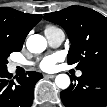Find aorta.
<instances>
[{
    "mask_svg": "<svg viewBox=\"0 0 107 107\" xmlns=\"http://www.w3.org/2000/svg\"><path fill=\"white\" fill-rule=\"evenodd\" d=\"M26 47L31 53H41L47 47L46 39L39 34H34L28 37ZM55 84L60 89H67L70 85V78L67 74H59L55 78Z\"/></svg>",
    "mask_w": 107,
    "mask_h": 107,
    "instance_id": "obj_1",
    "label": "aorta"
}]
</instances>
